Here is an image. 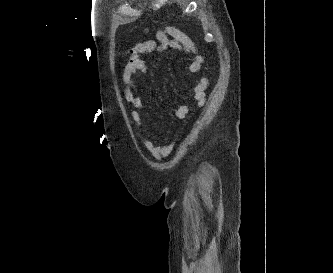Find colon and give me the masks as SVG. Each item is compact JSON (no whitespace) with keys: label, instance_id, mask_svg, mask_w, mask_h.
<instances>
[{"label":"colon","instance_id":"obj_1","mask_svg":"<svg viewBox=\"0 0 333 273\" xmlns=\"http://www.w3.org/2000/svg\"><path fill=\"white\" fill-rule=\"evenodd\" d=\"M136 46H137V44L134 45V46H132V47L130 48V50H129V55H134V54H136Z\"/></svg>","mask_w":333,"mask_h":273}]
</instances>
